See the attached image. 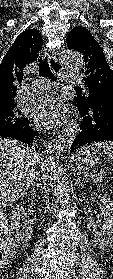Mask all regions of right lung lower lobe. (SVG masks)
Here are the masks:
<instances>
[{
	"mask_svg": "<svg viewBox=\"0 0 113 279\" xmlns=\"http://www.w3.org/2000/svg\"><path fill=\"white\" fill-rule=\"evenodd\" d=\"M37 132L33 131L29 127L28 119L19 125L0 128V138H12L32 145L34 138L37 136Z\"/></svg>",
	"mask_w": 113,
	"mask_h": 279,
	"instance_id": "1",
	"label": "right lung lower lobe"
}]
</instances>
